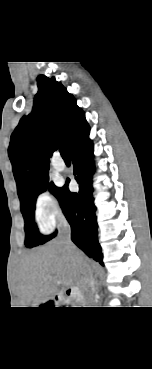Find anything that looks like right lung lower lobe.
<instances>
[{
	"label": "right lung lower lobe",
	"mask_w": 152,
	"mask_h": 369,
	"mask_svg": "<svg viewBox=\"0 0 152 369\" xmlns=\"http://www.w3.org/2000/svg\"><path fill=\"white\" fill-rule=\"evenodd\" d=\"M90 129L76 140L69 154L74 165L75 179L79 192L68 189L69 179L60 188L58 200L72 229V241L90 258L103 265V255L97 237L96 207L92 197V175L94 173L93 144L88 138ZM56 235V234H55Z\"/></svg>",
	"instance_id": "obj_1"
}]
</instances>
